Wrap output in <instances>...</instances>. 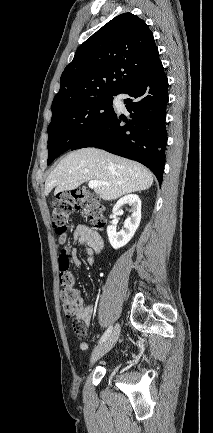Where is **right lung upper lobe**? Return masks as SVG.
I'll list each match as a JSON object with an SVG mask.
<instances>
[{"mask_svg":"<svg viewBox=\"0 0 213 433\" xmlns=\"http://www.w3.org/2000/svg\"><path fill=\"white\" fill-rule=\"evenodd\" d=\"M158 59L153 34L136 15L124 13L109 21L76 51L64 69L52 114L99 95H117Z\"/></svg>","mask_w":213,"mask_h":433,"instance_id":"cb5924a9","label":"right lung upper lobe"}]
</instances>
